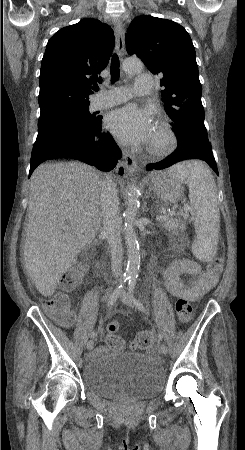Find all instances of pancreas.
Returning <instances> with one entry per match:
<instances>
[{
    "mask_svg": "<svg viewBox=\"0 0 245 450\" xmlns=\"http://www.w3.org/2000/svg\"><path fill=\"white\" fill-rule=\"evenodd\" d=\"M187 219L188 214L184 213V220ZM161 226L168 231H172L173 234H178L179 231L185 230V221L169 216L166 220L162 221Z\"/></svg>",
    "mask_w": 245,
    "mask_h": 450,
    "instance_id": "1",
    "label": "pancreas"
}]
</instances>
